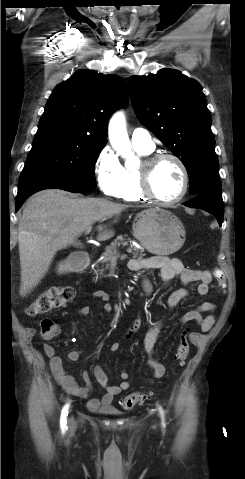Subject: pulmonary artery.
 Masks as SVG:
<instances>
[{
  "instance_id": "1",
  "label": "pulmonary artery",
  "mask_w": 245,
  "mask_h": 479,
  "mask_svg": "<svg viewBox=\"0 0 245 479\" xmlns=\"http://www.w3.org/2000/svg\"><path fill=\"white\" fill-rule=\"evenodd\" d=\"M131 142L134 147L152 151L155 144L150 133L143 128H136L131 134Z\"/></svg>"
}]
</instances>
